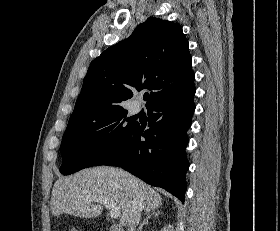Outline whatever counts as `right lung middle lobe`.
<instances>
[{
	"instance_id": "obj_1",
	"label": "right lung middle lobe",
	"mask_w": 280,
	"mask_h": 231,
	"mask_svg": "<svg viewBox=\"0 0 280 231\" xmlns=\"http://www.w3.org/2000/svg\"><path fill=\"white\" fill-rule=\"evenodd\" d=\"M126 116L125 110L101 118L69 120L60 148V172L68 175L102 165L136 126Z\"/></svg>"
}]
</instances>
